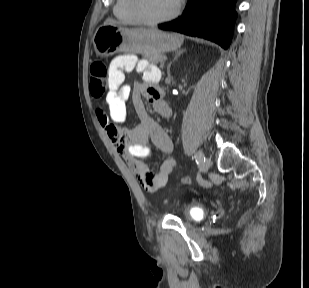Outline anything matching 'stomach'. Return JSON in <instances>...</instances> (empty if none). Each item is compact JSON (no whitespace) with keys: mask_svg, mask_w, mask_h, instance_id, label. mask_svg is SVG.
<instances>
[{"mask_svg":"<svg viewBox=\"0 0 309 288\" xmlns=\"http://www.w3.org/2000/svg\"><path fill=\"white\" fill-rule=\"evenodd\" d=\"M92 41L96 54L101 57L121 52L148 57L178 49L184 37L156 29L126 28L106 22L97 28Z\"/></svg>","mask_w":309,"mask_h":288,"instance_id":"0dacf381","label":"stomach"}]
</instances>
